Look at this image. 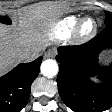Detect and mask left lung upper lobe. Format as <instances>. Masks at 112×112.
<instances>
[{
	"label": "left lung upper lobe",
	"mask_w": 112,
	"mask_h": 112,
	"mask_svg": "<svg viewBox=\"0 0 112 112\" xmlns=\"http://www.w3.org/2000/svg\"><path fill=\"white\" fill-rule=\"evenodd\" d=\"M106 14V20H105V25L107 26H112V13L110 12H105Z\"/></svg>",
	"instance_id": "left-lung-upper-lobe-1"
}]
</instances>
